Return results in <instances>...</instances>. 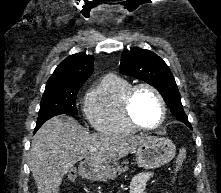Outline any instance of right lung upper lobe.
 <instances>
[{
  "instance_id": "1",
  "label": "right lung upper lobe",
  "mask_w": 221,
  "mask_h": 193,
  "mask_svg": "<svg viewBox=\"0 0 221 193\" xmlns=\"http://www.w3.org/2000/svg\"><path fill=\"white\" fill-rule=\"evenodd\" d=\"M94 57L83 52L63 60L47 81L45 89L81 86L93 72Z\"/></svg>"
}]
</instances>
